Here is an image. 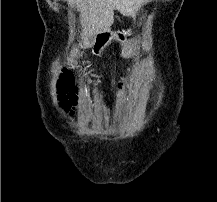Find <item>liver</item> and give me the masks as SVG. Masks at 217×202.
<instances>
[{
  "label": "liver",
  "instance_id": "6515ba94",
  "mask_svg": "<svg viewBox=\"0 0 217 202\" xmlns=\"http://www.w3.org/2000/svg\"><path fill=\"white\" fill-rule=\"evenodd\" d=\"M77 6L84 34H103L109 32L114 22V10L122 16H135L141 4L148 0H68Z\"/></svg>",
  "mask_w": 217,
  "mask_h": 202
}]
</instances>
